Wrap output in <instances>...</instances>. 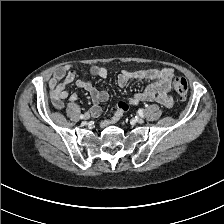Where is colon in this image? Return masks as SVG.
<instances>
[{
  "instance_id": "obj_1",
  "label": "colon",
  "mask_w": 224,
  "mask_h": 224,
  "mask_svg": "<svg viewBox=\"0 0 224 224\" xmlns=\"http://www.w3.org/2000/svg\"><path fill=\"white\" fill-rule=\"evenodd\" d=\"M173 89L174 91L182 98L186 97L188 93V82L184 77H176L173 80ZM118 108L121 112H127L128 106L124 102L118 104Z\"/></svg>"
}]
</instances>
